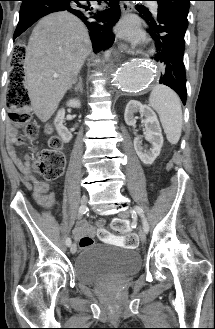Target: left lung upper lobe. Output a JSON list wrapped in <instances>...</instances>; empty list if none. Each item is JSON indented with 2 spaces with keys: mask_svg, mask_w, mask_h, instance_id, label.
Masks as SVG:
<instances>
[{
  "mask_svg": "<svg viewBox=\"0 0 215 329\" xmlns=\"http://www.w3.org/2000/svg\"><path fill=\"white\" fill-rule=\"evenodd\" d=\"M158 2V13L166 14L185 27L188 26L187 15L191 0H155Z\"/></svg>",
  "mask_w": 215,
  "mask_h": 329,
  "instance_id": "obj_1",
  "label": "left lung upper lobe"
}]
</instances>
